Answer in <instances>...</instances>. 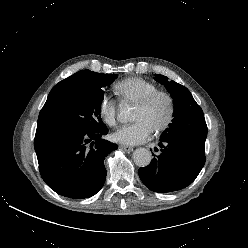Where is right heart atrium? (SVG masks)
<instances>
[{
    "mask_svg": "<svg viewBox=\"0 0 248 248\" xmlns=\"http://www.w3.org/2000/svg\"><path fill=\"white\" fill-rule=\"evenodd\" d=\"M118 102L108 94H104L99 102V114L108 126H115L117 123Z\"/></svg>",
    "mask_w": 248,
    "mask_h": 248,
    "instance_id": "1",
    "label": "right heart atrium"
}]
</instances>
